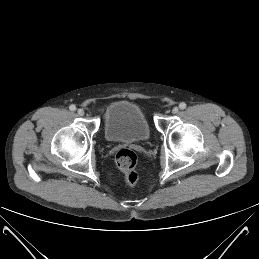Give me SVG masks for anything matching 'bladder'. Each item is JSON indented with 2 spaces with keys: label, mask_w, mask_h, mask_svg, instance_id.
Returning <instances> with one entry per match:
<instances>
[{
  "label": "bladder",
  "mask_w": 259,
  "mask_h": 259,
  "mask_svg": "<svg viewBox=\"0 0 259 259\" xmlns=\"http://www.w3.org/2000/svg\"><path fill=\"white\" fill-rule=\"evenodd\" d=\"M103 132L109 142H143L150 137V127L141 108L133 102L111 103L104 113Z\"/></svg>",
  "instance_id": "bladder-1"
}]
</instances>
